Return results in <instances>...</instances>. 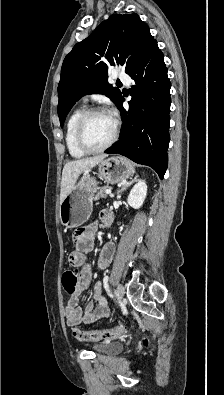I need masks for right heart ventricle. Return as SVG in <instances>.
Returning <instances> with one entry per match:
<instances>
[{
    "instance_id": "e07e8e85",
    "label": "right heart ventricle",
    "mask_w": 224,
    "mask_h": 395,
    "mask_svg": "<svg viewBox=\"0 0 224 395\" xmlns=\"http://www.w3.org/2000/svg\"><path fill=\"white\" fill-rule=\"evenodd\" d=\"M85 112V107L80 106L76 108L69 116L66 123L65 141L67 149L73 158H82L86 153L78 146L76 141V127L77 123Z\"/></svg>"
}]
</instances>
